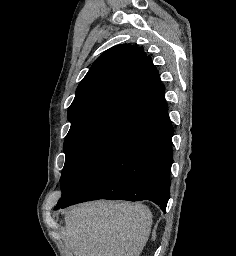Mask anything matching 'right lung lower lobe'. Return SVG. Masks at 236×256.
Returning a JSON list of instances; mask_svg holds the SVG:
<instances>
[{"instance_id": "1", "label": "right lung lower lobe", "mask_w": 236, "mask_h": 256, "mask_svg": "<svg viewBox=\"0 0 236 256\" xmlns=\"http://www.w3.org/2000/svg\"><path fill=\"white\" fill-rule=\"evenodd\" d=\"M174 129L166 115L103 161L80 187L55 209L96 200H150L165 212L170 195Z\"/></svg>"}]
</instances>
